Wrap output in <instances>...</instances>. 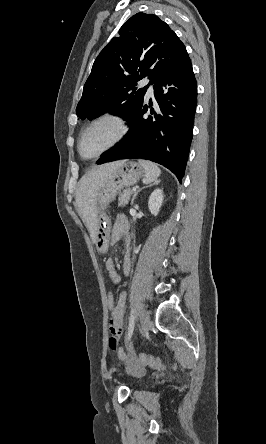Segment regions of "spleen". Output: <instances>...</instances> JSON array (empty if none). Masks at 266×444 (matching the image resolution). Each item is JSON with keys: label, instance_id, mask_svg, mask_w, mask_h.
Returning a JSON list of instances; mask_svg holds the SVG:
<instances>
[{"label": "spleen", "instance_id": "obj_1", "mask_svg": "<svg viewBox=\"0 0 266 444\" xmlns=\"http://www.w3.org/2000/svg\"><path fill=\"white\" fill-rule=\"evenodd\" d=\"M139 164L143 167L145 171V176L143 179L145 183L156 181L158 176L161 174L160 168L153 162L147 160H139Z\"/></svg>", "mask_w": 266, "mask_h": 444}]
</instances>
